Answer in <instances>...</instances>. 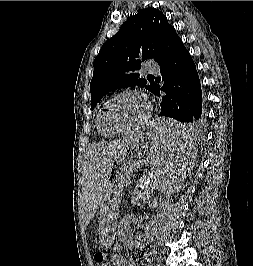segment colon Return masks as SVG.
Returning <instances> with one entry per match:
<instances>
[{
	"label": "colon",
	"instance_id": "1",
	"mask_svg": "<svg viewBox=\"0 0 253 266\" xmlns=\"http://www.w3.org/2000/svg\"><path fill=\"white\" fill-rule=\"evenodd\" d=\"M95 262L98 266H118V258L112 257L108 260L102 252L95 254Z\"/></svg>",
	"mask_w": 253,
	"mask_h": 266
}]
</instances>
